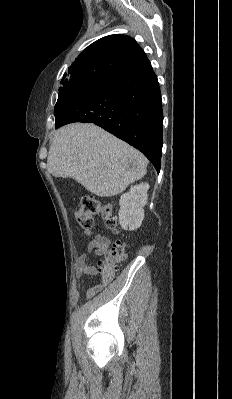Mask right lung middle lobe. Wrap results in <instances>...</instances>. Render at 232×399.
Wrapping results in <instances>:
<instances>
[{
  "instance_id": "dd1d6c3e",
  "label": "right lung middle lobe",
  "mask_w": 232,
  "mask_h": 399,
  "mask_svg": "<svg viewBox=\"0 0 232 399\" xmlns=\"http://www.w3.org/2000/svg\"><path fill=\"white\" fill-rule=\"evenodd\" d=\"M105 79L100 78H79L64 84L59 89L58 100L54 108L55 117L57 118L61 108L69 101L80 98L83 94L95 88Z\"/></svg>"
}]
</instances>
